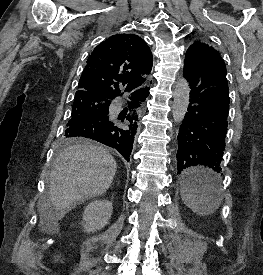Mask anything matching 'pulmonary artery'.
<instances>
[{
    "mask_svg": "<svg viewBox=\"0 0 263 275\" xmlns=\"http://www.w3.org/2000/svg\"><path fill=\"white\" fill-rule=\"evenodd\" d=\"M120 105H121V103H120L119 101H116V102L114 103V107H115V108H119Z\"/></svg>",
    "mask_w": 263,
    "mask_h": 275,
    "instance_id": "e3ab8cb5",
    "label": "pulmonary artery"
}]
</instances>
